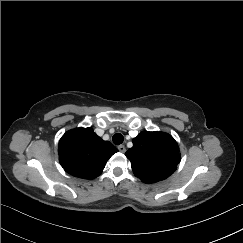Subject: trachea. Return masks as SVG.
Wrapping results in <instances>:
<instances>
[{
	"label": "trachea",
	"instance_id": "obj_1",
	"mask_svg": "<svg viewBox=\"0 0 243 243\" xmlns=\"http://www.w3.org/2000/svg\"><path fill=\"white\" fill-rule=\"evenodd\" d=\"M112 140L115 145H120L124 141V137L122 134L117 133L112 137Z\"/></svg>",
	"mask_w": 243,
	"mask_h": 243
}]
</instances>
